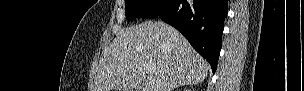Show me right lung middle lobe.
<instances>
[{
	"label": "right lung middle lobe",
	"instance_id": "1",
	"mask_svg": "<svg viewBox=\"0 0 304 91\" xmlns=\"http://www.w3.org/2000/svg\"><path fill=\"white\" fill-rule=\"evenodd\" d=\"M168 3L169 0H126V19L157 18Z\"/></svg>",
	"mask_w": 304,
	"mask_h": 91
}]
</instances>
